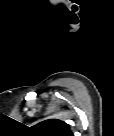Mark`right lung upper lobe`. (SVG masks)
<instances>
[{"label":"right lung upper lobe","mask_w":114,"mask_h":136,"mask_svg":"<svg viewBox=\"0 0 114 136\" xmlns=\"http://www.w3.org/2000/svg\"><path fill=\"white\" fill-rule=\"evenodd\" d=\"M31 130L37 136H73L69 125L58 119L40 122L33 126Z\"/></svg>","instance_id":"cb5924a9"}]
</instances>
